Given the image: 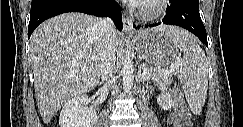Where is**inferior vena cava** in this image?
Segmentation results:
<instances>
[{
    "label": "inferior vena cava",
    "instance_id": "1",
    "mask_svg": "<svg viewBox=\"0 0 243 127\" xmlns=\"http://www.w3.org/2000/svg\"><path fill=\"white\" fill-rule=\"evenodd\" d=\"M99 26L104 33L102 39L100 75L102 82L110 84L116 61V45L113 39L116 30L113 22L109 18L100 19Z\"/></svg>",
    "mask_w": 243,
    "mask_h": 127
}]
</instances>
